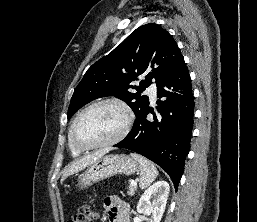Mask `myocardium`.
<instances>
[{
  "label": "myocardium",
  "mask_w": 257,
  "mask_h": 222,
  "mask_svg": "<svg viewBox=\"0 0 257 222\" xmlns=\"http://www.w3.org/2000/svg\"><path fill=\"white\" fill-rule=\"evenodd\" d=\"M107 104L115 105L123 111L125 119H124V124H123L121 131L113 138H111L107 141L98 143V144L85 145V144L80 143L77 140L76 135H75L76 127H77V124L80 121V119L91 109L98 107V106L107 105ZM132 120H133V115H132L131 108L128 105V103L125 102L124 100H122L120 98H116V97H109V98H104V99L98 100L96 102H93L86 108H84L74 119V121L70 127V132H69L71 143L73 144V146L75 148H77L78 150H81V151H88V150L99 149V148H104V147L115 145V144L121 142L128 135L131 125H132Z\"/></svg>",
  "instance_id": "obj_1"
}]
</instances>
